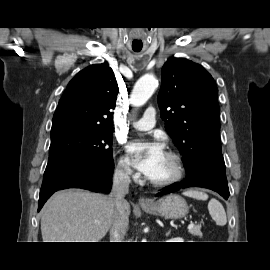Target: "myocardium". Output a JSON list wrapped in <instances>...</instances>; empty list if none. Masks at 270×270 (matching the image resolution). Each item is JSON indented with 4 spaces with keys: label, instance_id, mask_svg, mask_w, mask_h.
Wrapping results in <instances>:
<instances>
[{
    "label": "myocardium",
    "instance_id": "obj_1",
    "mask_svg": "<svg viewBox=\"0 0 270 270\" xmlns=\"http://www.w3.org/2000/svg\"><path fill=\"white\" fill-rule=\"evenodd\" d=\"M166 155L173 160L174 172L170 177H168L164 180L156 181V180H152L150 178L149 182L154 187L163 188V187L171 186V185L179 182L184 176L185 167H184V162H183L182 156L175 151H168V152H166Z\"/></svg>",
    "mask_w": 270,
    "mask_h": 270
}]
</instances>
